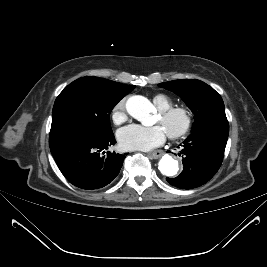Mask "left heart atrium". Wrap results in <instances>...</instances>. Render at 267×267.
Listing matches in <instances>:
<instances>
[{
    "mask_svg": "<svg viewBox=\"0 0 267 267\" xmlns=\"http://www.w3.org/2000/svg\"><path fill=\"white\" fill-rule=\"evenodd\" d=\"M119 144L125 150H151L166 139V131L160 126L145 127L138 124L126 126L118 131Z\"/></svg>",
    "mask_w": 267,
    "mask_h": 267,
    "instance_id": "39dd6f15",
    "label": "left heart atrium"
}]
</instances>
